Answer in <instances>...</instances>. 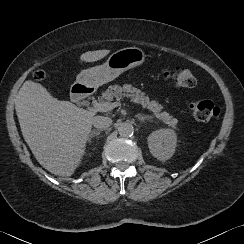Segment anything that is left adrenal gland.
<instances>
[{"label":"left adrenal gland","mask_w":244,"mask_h":244,"mask_svg":"<svg viewBox=\"0 0 244 244\" xmlns=\"http://www.w3.org/2000/svg\"><path fill=\"white\" fill-rule=\"evenodd\" d=\"M136 117H138V120H139L141 123H145L146 121H150V122H152L151 117L146 116V115H143V114H137Z\"/></svg>","instance_id":"obj_1"}]
</instances>
